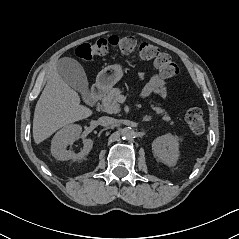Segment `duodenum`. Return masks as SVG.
<instances>
[{"label": "duodenum", "mask_w": 239, "mask_h": 239, "mask_svg": "<svg viewBox=\"0 0 239 239\" xmlns=\"http://www.w3.org/2000/svg\"><path fill=\"white\" fill-rule=\"evenodd\" d=\"M105 93V88L102 85H97L95 86L90 94V99L92 103L98 102L104 95Z\"/></svg>", "instance_id": "410a0bca"}]
</instances>
